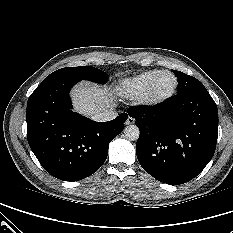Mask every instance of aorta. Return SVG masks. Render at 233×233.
Returning <instances> with one entry per match:
<instances>
[{
  "mask_svg": "<svg viewBox=\"0 0 233 233\" xmlns=\"http://www.w3.org/2000/svg\"><path fill=\"white\" fill-rule=\"evenodd\" d=\"M139 135H140V131L136 125H129L124 129V136L129 141L138 140Z\"/></svg>",
  "mask_w": 233,
  "mask_h": 233,
  "instance_id": "1",
  "label": "aorta"
}]
</instances>
